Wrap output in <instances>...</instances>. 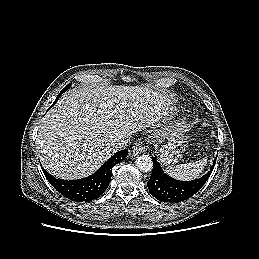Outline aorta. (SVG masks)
Instances as JSON below:
<instances>
[{"label":"aorta","mask_w":259,"mask_h":259,"mask_svg":"<svg viewBox=\"0 0 259 259\" xmlns=\"http://www.w3.org/2000/svg\"><path fill=\"white\" fill-rule=\"evenodd\" d=\"M135 163L138 169L142 172H149L153 168L152 159L148 155L138 156Z\"/></svg>","instance_id":"obj_1"}]
</instances>
